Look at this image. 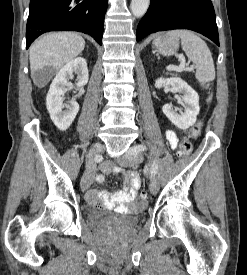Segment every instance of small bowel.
Here are the masks:
<instances>
[{
  "instance_id": "1",
  "label": "small bowel",
  "mask_w": 247,
  "mask_h": 275,
  "mask_svg": "<svg viewBox=\"0 0 247 275\" xmlns=\"http://www.w3.org/2000/svg\"><path fill=\"white\" fill-rule=\"evenodd\" d=\"M166 138L172 149L178 145V137L175 132L166 131ZM101 171L105 174L122 173L128 179L124 187L113 193L109 194L106 191L90 190L86 193V200L92 206L116 207L120 211L134 210V201L137 191L140 187L139 176L135 172H126L121 167L113 165L110 162L101 165Z\"/></svg>"
}]
</instances>
